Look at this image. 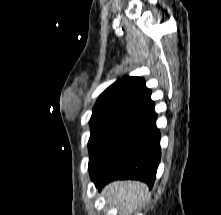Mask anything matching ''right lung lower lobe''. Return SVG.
<instances>
[{"label": "right lung lower lobe", "instance_id": "obj_1", "mask_svg": "<svg viewBox=\"0 0 221 215\" xmlns=\"http://www.w3.org/2000/svg\"><path fill=\"white\" fill-rule=\"evenodd\" d=\"M156 118L154 103L137 110L107 142L89 168L99 190L116 179L140 180L152 188L161 156Z\"/></svg>", "mask_w": 221, "mask_h": 215}]
</instances>
